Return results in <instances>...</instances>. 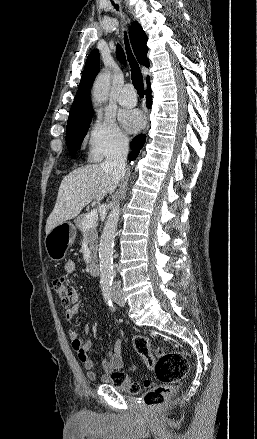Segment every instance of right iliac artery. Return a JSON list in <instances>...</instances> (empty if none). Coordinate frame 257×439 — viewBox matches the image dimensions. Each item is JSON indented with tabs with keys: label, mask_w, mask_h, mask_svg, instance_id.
I'll return each mask as SVG.
<instances>
[{
	"label": "right iliac artery",
	"mask_w": 257,
	"mask_h": 439,
	"mask_svg": "<svg viewBox=\"0 0 257 439\" xmlns=\"http://www.w3.org/2000/svg\"><path fill=\"white\" fill-rule=\"evenodd\" d=\"M102 292H103V296H104V299L107 302V304L109 306H113V304H112V294H111V285H109V284L102 285Z\"/></svg>",
	"instance_id": "82829eb1"
}]
</instances>
